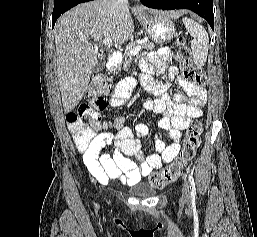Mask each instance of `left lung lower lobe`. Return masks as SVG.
<instances>
[{"mask_svg": "<svg viewBox=\"0 0 257 237\" xmlns=\"http://www.w3.org/2000/svg\"><path fill=\"white\" fill-rule=\"evenodd\" d=\"M141 3L147 7L162 10L189 9L203 17L213 29V0H156Z\"/></svg>", "mask_w": 257, "mask_h": 237, "instance_id": "left-lung-lower-lobe-1", "label": "left lung lower lobe"}]
</instances>
